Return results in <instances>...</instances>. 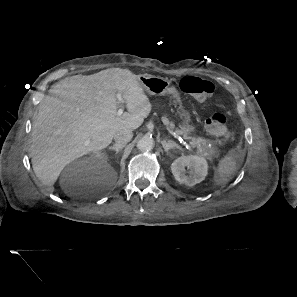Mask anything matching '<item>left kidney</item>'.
Listing matches in <instances>:
<instances>
[{"label": "left kidney", "instance_id": "left-kidney-1", "mask_svg": "<svg viewBox=\"0 0 297 297\" xmlns=\"http://www.w3.org/2000/svg\"><path fill=\"white\" fill-rule=\"evenodd\" d=\"M186 167L189 169L188 174H186ZM171 170L179 183L192 187L205 179L208 163L202 156H181L172 163Z\"/></svg>", "mask_w": 297, "mask_h": 297}]
</instances>
